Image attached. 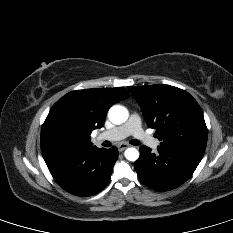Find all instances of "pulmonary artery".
Wrapping results in <instances>:
<instances>
[{"mask_svg": "<svg viewBox=\"0 0 233 233\" xmlns=\"http://www.w3.org/2000/svg\"><path fill=\"white\" fill-rule=\"evenodd\" d=\"M130 135L152 149H156L160 144L158 139L153 138L142 129L141 120L137 114H132L126 123L100 134L97 139L118 141Z\"/></svg>", "mask_w": 233, "mask_h": 233, "instance_id": "1", "label": "pulmonary artery"}]
</instances>
